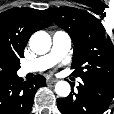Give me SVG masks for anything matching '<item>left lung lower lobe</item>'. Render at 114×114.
I'll list each match as a JSON object with an SVG mask.
<instances>
[{
    "instance_id": "left-lung-lower-lobe-1",
    "label": "left lung lower lobe",
    "mask_w": 114,
    "mask_h": 114,
    "mask_svg": "<svg viewBox=\"0 0 114 114\" xmlns=\"http://www.w3.org/2000/svg\"><path fill=\"white\" fill-rule=\"evenodd\" d=\"M77 93L57 100L62 114H103L114 97V84L91 79H82Z\"/></svg>"
}]
</instances>
